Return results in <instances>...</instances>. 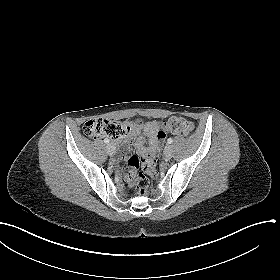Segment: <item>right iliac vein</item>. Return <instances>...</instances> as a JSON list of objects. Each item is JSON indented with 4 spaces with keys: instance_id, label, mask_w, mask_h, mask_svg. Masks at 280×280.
Instances as JSON below:
<instances>
[{
    "instance_id": "1",
    "label": "right iliac vein",
    "mask_w": 280,
    "mask_h": 280,
    "mask_svg": "<svg viewBox=\"0 0 280 280\" xmlns=\"http://www.w3.org/2000/svg\"><path fill=\"white\" fill-rule=\"evenodd\" d=\"M107 153L111 156L115 154V146L112 143L107 145Z\"/></svg>"
}]
</instances>
